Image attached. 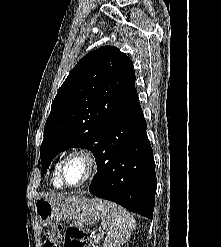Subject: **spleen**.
<instances>
[{"label":"spleen","mask_w":221,"mask_h":247,"mask_svg":"<svg viewBox=\"0 0 221 247\" xmlns=\"http://www.w3.org/2000/svg\"><path fill=\"white\" fill-rule=\"evenodd\" d=\"M101 224L106 230L104 247H120L131 237L136 228L133 216L121 206L103 201L99 204Z\"/></svg>","instance_id":"1"}]
</instances>
